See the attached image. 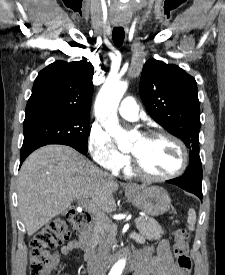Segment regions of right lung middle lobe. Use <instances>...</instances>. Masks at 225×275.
Returning a JSON list of instances; mask_svg holds the SVG:
<instances>
[{
    "instance_id": "right-lung-middle-lobe-1",
    "label": "right lung middle lobe",
    "mask_w": 225,
    "mask_h": 275,
    "mask_svg": "<svg viewBox=\"0 0 225 275\" xmlns=\"http://www.w3.org/2000/svg\"><path fill=\"white\" fill-rule=\"evenodd\" d=\"M89 124V114L42 113L26 116L23 145L58 143L87 152Z\"/></svg>"
}]
</instances>
